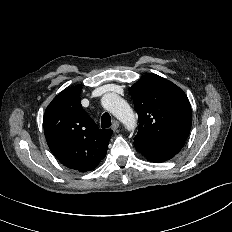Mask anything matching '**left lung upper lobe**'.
<instances>
[{"mask_svg":"<svg viewBox=\"0 0 232 232\" xmlns=\"http://www.w3.org/2000/svg\"><path fill=\"white\" fill-rule=\"evenodd\" d=\"M139 118L135 142H185L192 123L189 100L174 83L149 73L129 88Z\"/></svg>","mask_w":232,"mask_h":232,"instance_id":"left-lung-upper-lobe-1","label":"left lung upper lobe"}]
</instances>
